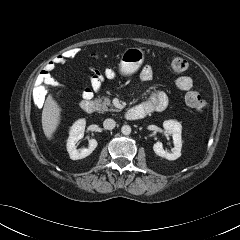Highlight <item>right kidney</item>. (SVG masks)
Wrapping results in <instances>:
<instances>
[{
  "label": "right kidney",
  "instance_id": "1",
  "mask_svg": "<svg viewBox=\"0 0 240 240\" xmlns=\"http://www.w3.org/2000/svg\"><path fill=\"white\" fill-rule=\"evenodd\" d=\"M85 126V119H79L72 125L70 129L69 137L67 140V151L72 160H78L87 157L95 150L98 145L95 139H90L88 148L81 150L77 149L76 144L80 139L83 138Z\"/></svg>",
  "mask_w": 240,
  "mask_h": 240
}]
</instances>
